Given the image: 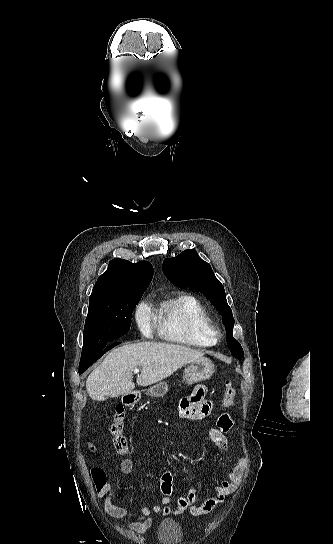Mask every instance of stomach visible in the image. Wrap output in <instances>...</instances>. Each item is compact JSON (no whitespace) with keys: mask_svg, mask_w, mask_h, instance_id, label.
I'll use <instances>...</instances> for the list:
<instances>
[{"mask_svg":"<svg viewBox=\"0 0 333 544\" xmlns=\"http://www.w3.org/2000/svg\"><path fill=\"white\" fill-rule=\"evenodd\" d=\"M214 372L213 363L206 358H201L196 361L191 362L184 370L183 380L187 384H193L195 382H200L206 380L212 376ZM168 384L165 381H160L157 384H154L146 390L147 394L151 397H163L168 392ZM141 397L140 392H132L131 398L133 404L137 402Z\"/></svg>","mask_w":333,"mask_h":544,"instance_id":"obj_1","label":"stomach"}]
</instances>
